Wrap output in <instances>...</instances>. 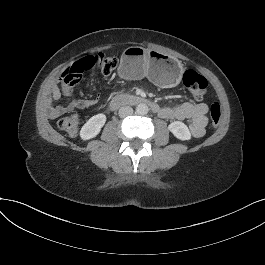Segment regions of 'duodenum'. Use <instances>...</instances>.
Listing matches in <instances>:
<instances>
[{
    "instance_id": "410a0bca",
    "label": "duodenum",
    "mask_w": 265,
    "mask_h": 265,
    "mask_svg": "<svg viewBox=\"0 0 265 265\" xmlns=\"http://www.w3.org/2000/svg\"><path fill=\"white\" fill-rule=\"evenodd\" d=\"M126 105H146L148 106L153 112L161 114L162 108L154 101L145 99L139 96L134 95H120L116 96L110 102V107L112 109H117L121 106Z\"/></svg>"
}]
</instances>
